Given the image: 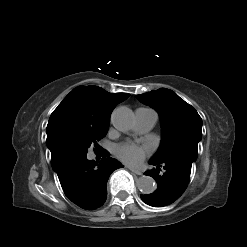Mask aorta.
Instances as JSON below:
<instances>
[{
  "mask_svg": "<svg viewBox=\"0 0 247 247\" xmlns=\"http://www.w3.org/2000/svg\"><path fill=\"white\" fill-rule=\"evenodd\" d=\"M111 121L117 130L126 132L134 125V114L128 107L121 106L113 111ZM137 188L143 194H151L156 189L155 181L150 176H142L137 180Z\"/></svg>",
  "mask_w": 247,
  "mask_h": 247,
  "instance_id": "1",
  "label": "aorta"
}]
</instances>
